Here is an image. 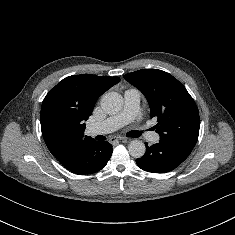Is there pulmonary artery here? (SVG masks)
<instances>
[{
	"mask_svg": "<svg viewBox=\"0 0 235 235\" xmlns=\"http://www.w3.org/2000/svg\"><path fill=\"white\" fill-rule=\"evenodd\" d=\"M140 98L141 94L137 89L126 90L124 92L123 109L116 115L91 124L88 128V133L90 135L107 134L132 122L138 113ZM159 138V135L155 132L148 134V139L153 143L158 142Z\"/></svg>",
	"mask_w": 235,
	"mask_h": 235,
	"instance_id": "1",
	"label": "pulmonary artery"
}]
</instances>
